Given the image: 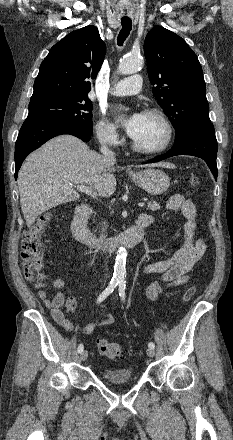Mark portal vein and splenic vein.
Segmentation results:
<instances>
[{
    "instance_id": "1",
    "label": "portal vein and splenic vein",
    "mask_w": 233,
    "mask_h": 440,
    "mask_svg": "<svg viewBox=\"0 0 233 440\" xmlns=\"http://www.w3.org/2000/svg\"><path fill=\"white\" fill-rule=\"evenodd\" d=\"M77 189H78L79 191L84 192L85 194H87V195L93 197V198H96V196H97L96 193L93 192L92 189H91L89 186H86V185H78V186H77ZM138 206H139V207H144V206H145V203H144V202H140V203L138 204Z\"/></svg>"
}]
</instances>
